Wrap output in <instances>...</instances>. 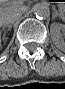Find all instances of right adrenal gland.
I'll return each mask as SVG.
<instances>
[{"mask_svg":"<svg viewBox=\"0 0 65 89\" xmlns=\"http://www.w3.org/2000/svg\"><path fill=\"white\" fill-rule=\"evenodd\" d=\"M11 28H12V24L4 25L3 28H2V30L4 31V35H5L8 31H10ZM3 37H5V36H3Z\"/></svg>","mask_w":65,"mask_h":89,"instance_id":"1","label":"right adrenal gland"}]
</instances>
